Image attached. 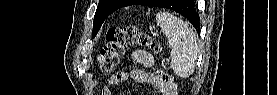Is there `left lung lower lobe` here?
I'll return each instance as SVG.
<instances>
[{
  "mask_svg": "<svg viewBox=\"0 0 277 95\" xmlns=\"http://www.w3.org/2000/svg\"><path fill=\"white\" fill-rule=\"evenodd\" d=\"M151 1L152 0H132L128 5L149 6V2ZM176 4H178L177 0H162L159 7L169 8L178 12L179 14L186 17L196 29H199L200 23H199V16L195 11V1L181 0V2L178 5Z\"/></svg>",
  "mask_w": 277,
  "mask_h": 95,
  "instance_id": "1",
  "label": "left lung lower lobe"
}]
</instances>
